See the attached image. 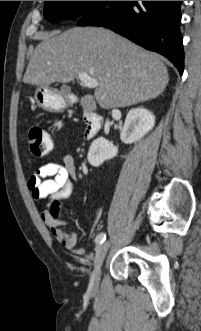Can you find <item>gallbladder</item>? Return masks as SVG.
<instances>
[{
	"label": "gallbladder",
	"instance_id": "obj_1",
	"mask_svg": "<svg viewBox=\"0 0 201 331\" xmlns=\"http://www.w3.org/2000/svg\"><path fill=\"white\" fill-rule=\"evenodd\" d=\"M60 94L67 97L70 94V88L67 85H63L60 90Z\"/></svg>",
	"mask_w": 201,
	"mask_h": 331
}]
</instances>
